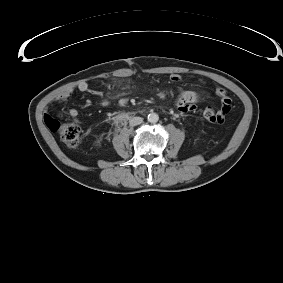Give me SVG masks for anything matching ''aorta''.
I'll return each mask as SVG.
<instances>
[{
	"mask_svg": "<svg viewBox=\"0 0 283 283\" xmlns=\"http://www.w3.org/2000/svg\"><path fill=\"white\" fill-rule=\"evenodd\" d=\"M159 120V116L158 114H156L155 112H151L149 115H148V121L150 123H157Z\"/></svg>",
	"mask_w": 283,
	"mask_h": 283,
	"instance_id": "obj_1",
	"label": "aorta"
}]
</instances>
